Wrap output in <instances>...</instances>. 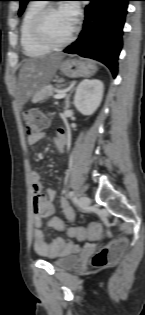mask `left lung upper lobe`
Wrapping results in <instances>:
<instances>
[{"label": "left lung upper lobe", "mask_w": 145, "mask_h": 315, "mask_svg": "<svg viewBox=\"0 0 145 315\" xmlns=\"http://www.w3.org/2000/svg\"><path fill=\"white\" fill-rule=\"evenodd\" d=\"M20 1V9H19V15H21L25 9L26 4L31 0H17Z\"/></svg>", "instance_id": "5c2ea615"}]
</instances>
